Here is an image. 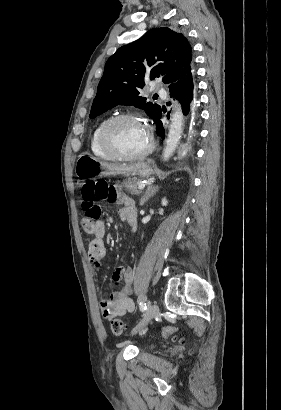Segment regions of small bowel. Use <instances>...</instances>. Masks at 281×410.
<instances>
[{
	"label": "small bowel",
	"instance_id": "1",
	"mask_svg": "<svg viewBox=\"0 0 281 410\" xmlns=\"http://www.w3.org/2000/svg\"><path fill=\"white\" fill-rule=\"evenodd\" d=\"M117 200L122 205V220L129 224L131 231H135L137 227V208L134 201L122 194H119ZM105 236V223L104 221H98L94 231V238L89 243L88 249L89 260L97 270L102 268L101 259L106 255L103 240ZM132 277V269L128 266H119L114 270L112 281L119 288L109 296H103L100 300L101 312L107 319L123 316L134 311V303L130 298Z\"/></svg>",
	"mask_w": 281,
	"mask_h": 410
}]
</instances>
